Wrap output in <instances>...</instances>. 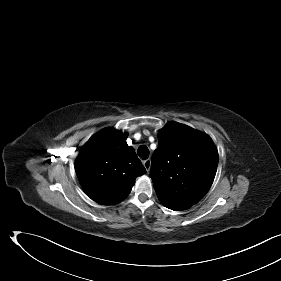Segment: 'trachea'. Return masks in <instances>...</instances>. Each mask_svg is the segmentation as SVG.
I'll list each match as a JSON object with an SVG mask.
<instances>
[{"label": "trachea", "mask_w": 281, "mask_h": 281, "mask_svg": "<svg viewBox=\"0 0 281 281\" xmlns=\"http://www.w3.org/2000/svg\"><path fill=\"white\" fill-rule=\"evenodd\" d=\"M138 156L142 157L143 160L147 159L149 157V149L142 145L137 150Z\"/></svg>", "instance_id": "3493384b"}]
</instances>
